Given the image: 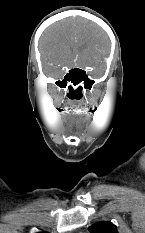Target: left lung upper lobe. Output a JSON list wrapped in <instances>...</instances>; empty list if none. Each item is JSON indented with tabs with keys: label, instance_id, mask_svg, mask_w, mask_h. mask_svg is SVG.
<instances>
[{
	"label": "left lung upper lobe",
	"instance_id": "5c2ea615",
	"mask_svg": "<svg viewBox=\"0 0 145 233\" xmlns=\"http://www.w3.org/2000/svg\"><path fill=\"white\" fill-rule=\"evenodd\" d=\"M90 233H118L117 227L111 222H98L88 228Z\"/></svg>",
	"mask_w": 145,
	"mask_h": 233
}]
</instances>
